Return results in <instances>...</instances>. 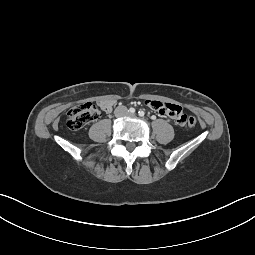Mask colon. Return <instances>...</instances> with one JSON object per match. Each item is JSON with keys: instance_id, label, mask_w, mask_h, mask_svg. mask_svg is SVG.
<instances>
[{"instance_id": "5ec220e1", "label": "colon", "mask_w": 255, "mask_h": 255, "mask_svg": "<svg viewBox=\"0 0 255 255\" xmlns=\"http://www.w3.org/2000/svg\"><path fill=\"white\" fill-rule=\"evenodd\" d=\"M100 115L101 111L94 103L86 102L76 104L67 113V126L71 130H79L90 122L96 121ZM187 116L188 123L186 125L189 127L195 126L196 118L192 115Z\"/></svg>"}]
</instances>
